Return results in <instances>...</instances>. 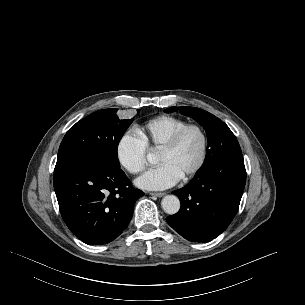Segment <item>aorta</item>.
<instances>
[{
    "instance_id": "obj_1",
    "label": "aorta",
    "mask_w": 305,
    "mask_h": 305,
    "mask_svg": "<svg viewBox=\"0 0 305 305\" xmlns=\"http://www.w3.org/2000/svg\"><path fill=\"white\" fill-rule=\"evenodd\" d=\"M161 206L167 214L173 215L179 211L180 201L175 195H167L162 199Z\"/></svg>"
}]
</instances>
